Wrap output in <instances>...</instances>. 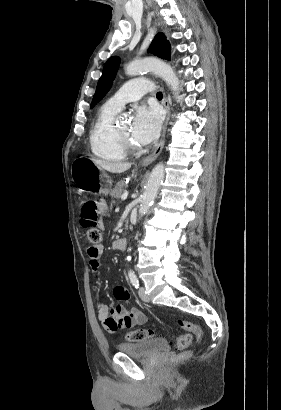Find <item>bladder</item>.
<instances>
[{
	"label": "bladder",
	"instance_id": "1",
	"mask_svg": "<svg viewBox=\"0 0 281 410\" xmlns=\"http://www.w3.org/2000/svg\"><path fill=\"white\" fill-rule=\"evenodd\" d=\"M120 353L135 358H150L169 350V344L163 339H149L136 343H120L117 345Z\"/></svg>",
	"mask_w": 281,
	"mask_h": 410
}]
</instances>
